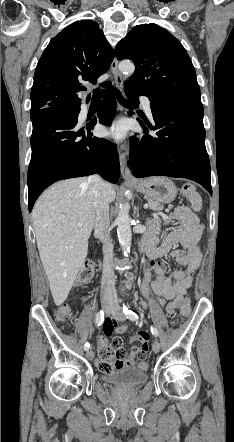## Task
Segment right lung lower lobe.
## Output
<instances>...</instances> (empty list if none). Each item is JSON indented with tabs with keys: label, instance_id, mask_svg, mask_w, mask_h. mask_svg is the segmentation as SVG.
Segmentation results:
<instances>
[{
	"label": "right lung lower lobe",
	"instance_id": "right-lung-lower-lobe-1",
	"mask_svg": "<svg viewBox=\"0 0 234 442\" xmlns=\"http://www.w3.org/2000/svg\"><path fill=\"white\" fill-rule=\"evenodd\" d=\"M80 105L31 112L32 155L27 178L29 212L44 189L58 180L94 173L111 183L119 180L120 163L114 144L91 133L97 121L107 125L115 115L116 100L111 89L105 91L98 118L83 127L78 125Z\"/></svg>",
	"mask_w": 234,
	"mask_h": 442
}]
</instances>
